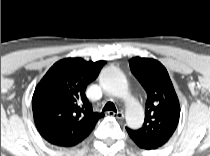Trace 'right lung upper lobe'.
<instances>
[{
  "label": "right lung upper lobe",
  "instance_id": "right-lung-upper-lobe-1",
  "mask_svg": "<svg viewBox=\"0 0 210 156\" xmlns=\"http://www.w3.org/2000/svg\"><path fill=\"white\" fill-rule=\"evenodd\" d=\"M71 60L56 63L47 73L33 98V112L41 135L50 143L72 146L83 140L94 120L86 103L83 85Z\"/></svg>",
  "mask_w": 210,
  "mask_h": 156
}]
</instances>
